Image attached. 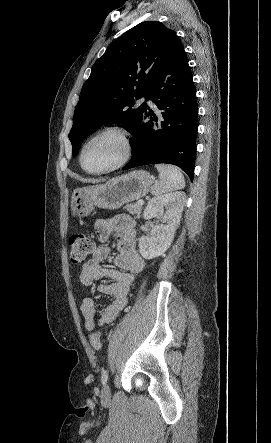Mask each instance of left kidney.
Returning <instances> with one entry per match:
<instances>
[{
	"label": "left kidney",
	"mask_w": 271,
	"mask_h": 443,
	"mask_svg": "<svg viewBox=\"0 0 271 443\" xmlns=\"http://www.w3.org/2000/svg\"><path fill=\"white\" fill-rule=\"evenodd\" d=\"M186 196L184 192H173L158 196L148 202L144 210V220L151 218H161L162 225L155 235H142L139 239V251L145 259H153L158 255H163L171 245V241L176 233V227L180 223L182 210L185 206Z\"/></svg>",
	"instance_id": "1"
}]
</instances>
